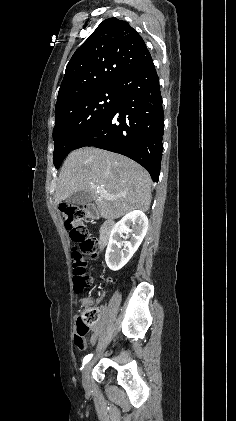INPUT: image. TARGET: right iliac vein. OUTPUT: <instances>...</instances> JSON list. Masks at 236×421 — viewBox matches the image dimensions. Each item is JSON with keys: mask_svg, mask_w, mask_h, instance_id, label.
Masks as SVG:
<instances>
[{"mask_svg": "<svg viewBox=\"0 0 236 421\" xmlns=\"http://www.w3.org/2000/svg\"><path fill=\"white\" fill-rule=\"evenodd\" d=\"M92 368V362H88L82 372V384L84 388H89L90 386V371Z\"/></svg>", "mask_w": 236, "mask_h": 421, "instance_id": "obj_1", "label": "right iliac vein"}]
</instances>
